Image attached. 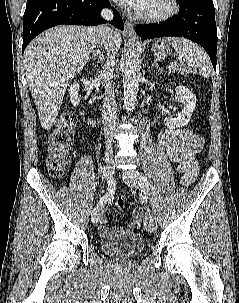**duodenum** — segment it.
Returning <instances> with one entry per match:
<instances>
[{
	"instance_id": "410a0bca",
	"label": "duodenum",
	"mask_w": 239,
	"mask_h": 303,
	"mask_svg": "<svg viewBox=\"0 0 239 303\" xmlns=\"http://www.w3.org/2000/svg\"><path fill=\"white\" fill-rule=\"evenodd\" d=\"M88 125H89L90 128H95L96 127V119L93 116H89Z\"/></svg>"
}]
</instances>
